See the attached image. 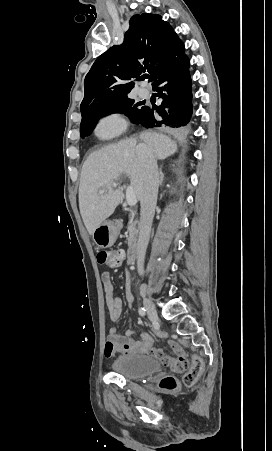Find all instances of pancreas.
<instances>
[{"instance_id":"1","label":"pancreas","mask_w":272,"mask_h":451,"mask_svg":"<svg viewBox=\"0 0 272 451\" xmlns=\"http://www.w3.org/2000/svg\"><path fill=\"white\" fill-rule=\"evenodd\" d=\"M120 227H122V224H118V229H120ZM127 231H129L128 245L129 247H134L137 243L139 229L137 227V222H134L133 218L128 222Z\"/></svg>"}]
</instances>
